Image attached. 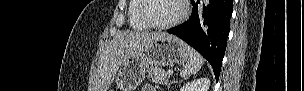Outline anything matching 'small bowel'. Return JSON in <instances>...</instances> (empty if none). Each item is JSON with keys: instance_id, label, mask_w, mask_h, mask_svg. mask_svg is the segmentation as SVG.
<instances>
[{"instance_id": "1", "label": "small bowel", "mask_w": 304, "mask_h": 91, "mask_svg": "<svg viewBox=\"0 0 304 91\" xmlns=\"http://www.w3.org/2000/svg\"><path fill=\"white\" fill-rule=\"evenodd\" d=\"M143 91H156V89L154 87H152L151 85H147L145 87L142 88Z\"/></svg>"}]
</instances>
